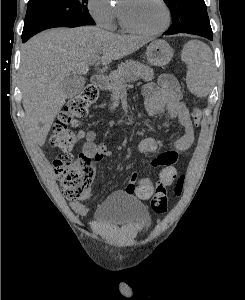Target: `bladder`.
<instances>
[{
  "label": "bladder",
  "instance_id": "31cf9c89",
  "mask_svg": "<svg viewBox=\"0 0 245 300\" xmlns=\"http://www.w3.org/2000/svg\"><path fill=\"white\" fill-rule=\"evenodd\" d=\"M93 220L100 226L132 225L140 233L148 231L151 226L145 205L124 192H116L105 199L94 212Z\"/></svg>",
  "mask_w": 245,
  "mask_h": 300
}]
</instances>
